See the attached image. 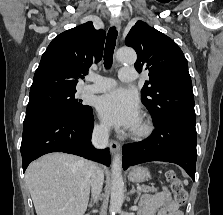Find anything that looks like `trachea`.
<instances>
[{
  "label": "trachea",
  "mask_w": 223,
  "mask_h": 215,
  "mask_svg": "<svg viewBox=\"0 0 223 215\" xmlns=\"http://www.w3.org/2000/svg\"><path fill=\"white\" fill-rule=\"evenodd\" d=\"M117 29L111 27L107 34V40L105 44V51H104V66L105 68H110L113 61V53L116 45L117 39Z\"/></svg>",
  "instance_id": "1"
}]
</instances>
